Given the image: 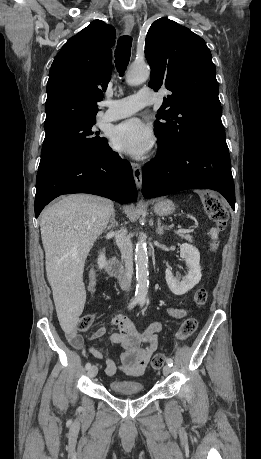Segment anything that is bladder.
I'll return each mask as SVG.
<instances>
[{
	"mask_svg": "<svg viewBox=\"0 0 261 459\" xmlns=\"http://www.w3.org/2000/svg\"><path fill=\"white\" fill-rule=\"evenodd\" d=\"M109 389L116 394H138L142 393L144 385L135 380H113L109 383Z\"/></svg>",
	"mask_w": 261,
	"mask_h": 459,
	"instance_id": "31cf9c89",
	"label": "bladder"
}]
</instances>
